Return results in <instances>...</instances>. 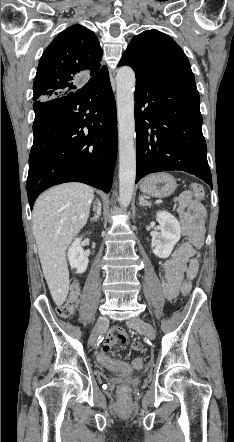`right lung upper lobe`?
<instances>
[{
	"label": "right lung upper lobe",
	"mask_w": 234,
	"mask_h": 442,
	"mask_svg": "<svg viewBox=\"0 0 234 442\" xmlns=\"http://www.w3.org/2000/svg\"><path fill=\"white\" fill-rule=\"evenodd\" d=\"M102 49L96 35L81 25L61 32L45 49L33 84V99L42 101L80 90V79L108 74L101 63ZM86 85V84H85Z\"/></svg>",
	"instance_id": "obj_1"
}]
</instances>
